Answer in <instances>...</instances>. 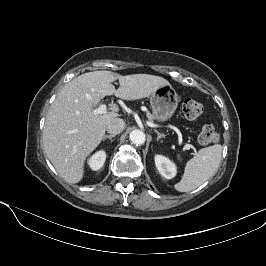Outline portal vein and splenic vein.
Returning <instances> with one entry per match:
<instances>
[{"mask_svg": "<svg viewBox=\"0 0 266 266\" xmlns=\"http://www.w3.org/2000/svg\"><path fill=\"white\" fill-rule=\"evenodd\" d=\"M107 105H105V104H102V105H100L98 108H96V109H94L93 110V113L94 114H104V113H106L107 112ZM111 110H113V109H115V106L114 107H112V108H110ZM185 149L186 150H189L190 148H191V145L190 144H185Z\"/></svg>", "mask_w": 266, "mask_h": 266, "instance_id": "obj_1", "label": "portal vein and splenic vein"}]
</instances>
